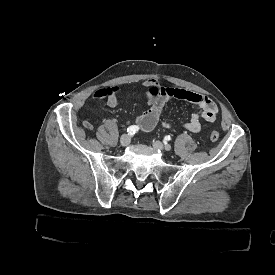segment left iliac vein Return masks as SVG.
<instances>
[{"label":"left iliac vein","mask_w":275,"mask_h":275,"mask_svg":"<svg viewBox=\"0 0 275 275\" xmlns=\"http://www.w3.org/2000/svg\"><path fill=\"white\" fill-rule=\"evenodd\" d=\"M153 147L161 151H170L171 146L169 144L163 145L160 141H153Z\"/></svg>","instance_id":"4c4485c4"}]
</instances>
